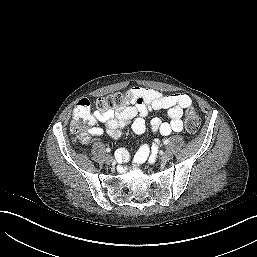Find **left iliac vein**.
<instances>
[{
    "label": "left iliac vein",
    "mask_w": 257,
    "mask_h": 257,
    "mask_svg": "<svg viewBox=\"0 0 257 257\" xmlns=\"http://www.w3.org/2000/svg\"><path fill=\"white\" fill-rule=\"evenodd\" d=\"M172 157H173V154L170 150H166L163 153H161V155H160V159L164 162L171 160Z\"/></svg>",
    "instance_id": "4c4485c4"
}]
</instances>
